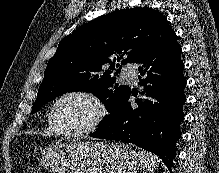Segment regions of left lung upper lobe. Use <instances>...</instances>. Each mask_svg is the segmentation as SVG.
Listing matches in <instances>:
<instances>
[{"mask_svg": "<svg viewBox=\"0 0 219 173\" xmlns=\"http://www.w3.org/2000/svg\"><path fill=\"white\" fill-rule=\"evenodd\" d=\"M172 32L165 16L148 7L118 10L84 24L62 39L49 60L32 113L64 93L91 91L111 115L130 91L111 75L120 72V63H136Z\"/></svg>", "mask_w": 219, "mask_h": 173, "instance_id": "1", "label": "left lung upper lobe"}]
</instances>
